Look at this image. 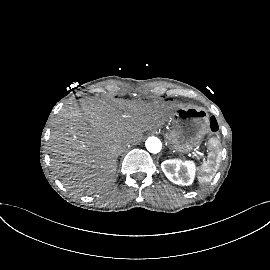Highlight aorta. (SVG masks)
<instances>
[{"mask_svg": "<svg viewBox=\"0 0 270 270\" xmlns=\"http://www.w3.org/2000/svg\"><path fill=\"white\" fill-rule=\"evenodd\" d=\"M146 149L153 154H157L162 149V143L157 137H149L145 143Z\"/></svg>", "mask_w": 270, "mask_h": 270, "instance_id": "aorta-1", "label": "aorta"}]
</instances>
